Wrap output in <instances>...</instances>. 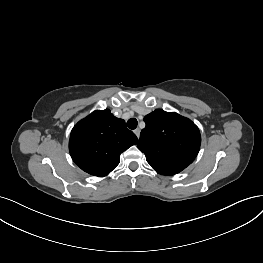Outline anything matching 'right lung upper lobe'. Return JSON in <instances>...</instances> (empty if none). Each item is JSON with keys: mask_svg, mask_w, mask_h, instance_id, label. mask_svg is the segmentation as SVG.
<instances>
[{"mask_svg": "<svg viewBox=\"0 0 263 263\" xmlns=\"http://www.w3.org/2000/svg\"><path fill=\"white\" fill-rule=\"evenodd\" d=\"M136 135L123 119L110 110H96L79 121L71 131L69 151L73 161L85 172L106 176L120 162V154L137 144Z\"/></svg>", "mask_w": 263, "mask_h": 263, "instance_id": "obj_1", "label": "right lung upper lobe"}]
</instances>
